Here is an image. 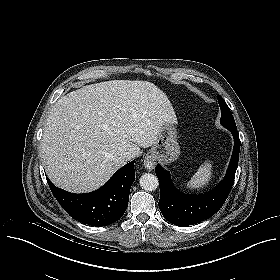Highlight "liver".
Listing matches in <instances>:
<instances>
[{"mask_svg":"<svg viewBox=\"0 0 280 280\" xmlns=\"http://www.w3.org/2000/svg\"><path fill=\"white\" fill-rule=\"evenodd\" d=\"M174 109L156 85L111 80L62 96L49 112L41 154L49 179L75 193L101 187L126 161L152 146Z\"/></svg>","mask_w":280,"mask_h":280,"instance_id":"liver-1","label":"liver"}]
</instances>
